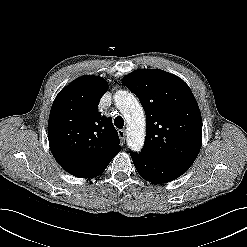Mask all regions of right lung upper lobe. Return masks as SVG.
I'll return each mask as SVG.
<instances>
[{"label": "right lung upper lobe", "mask_w": 247, "mask_h": 247, "mask_svg": "<svg viewBox=\"0 0 247 247\" xmlns=\"http://www.w3.org/2000/svg\"><path fill=\"white\" fill-rule=\"evenodd\" d=\"M108 90L99 76H82L55 98L48 121V139L56 161L65 168H86L120 152L111 118L101 115L98 103Z\"/></svg>", "instance_id": "cb5924a9"}]
</instances>
